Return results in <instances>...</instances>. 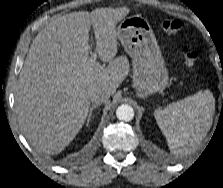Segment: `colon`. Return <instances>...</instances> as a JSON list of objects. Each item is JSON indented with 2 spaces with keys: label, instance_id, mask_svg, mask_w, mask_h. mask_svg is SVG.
<instances>
[{
  "label": "colon",
  "instance_id": "colon-1",
  "mask_svg": "<svg viewBox=\"0 0 223 188\" xmlns=\"http://www.w3.org/2000/svg\"><path fill=\"white\" fill-rule=\"evenodd\" d=\"M162 29L167 34H177L182 29V22L178 19H166L162 22ZM199 59L198 51L188 49L183 54V61L187 67H194Z\"/></svg>",
  "mask_w": 223,
  "mask_h": 188
}]
</instances>
